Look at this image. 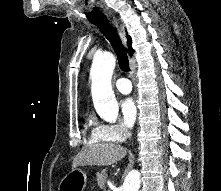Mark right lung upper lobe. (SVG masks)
Instances as JSON below:
<instances>
[{
    "label": "right lung upper lobe",
    "mask_w": 221,
    "mask_h": 191,
    "mask_svg": "<svg viewBox=\"0 0 221 191\" xmlns=\"http://www.w3.org/2000/svg\"><path fill=\"white\" fill-rule=\"evenodd\" d=\"M127 40H128V52H129V55L132 56L133 53H134V50L132 49L131 47V37L127 35Z\"/></svg>",
    "instance_id": "cb5924a9"
}]
</instances>
